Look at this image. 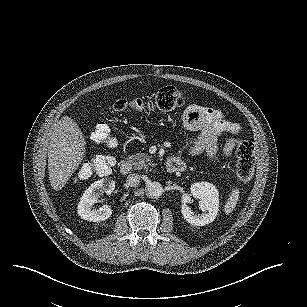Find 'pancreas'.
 <instances>
[{
	"mask_svg": "<svg viewBox=\"0 0 307 307\" xmlns=\"http://www.w3.org/2000/svg\"><path fill=\"white\" fill-rule=\"evenodd\" d=\"M136 171L149 170L151 167L155 166L156 163L152 161V157L148 156L146 153L140 152L136 155L129 157Z\"/></svg>",
	"mask_w": 307,
	"mask_h": 307,
	"instance_id": "pancreas-1",
	"label": "pancreas"
}]
</instances>
